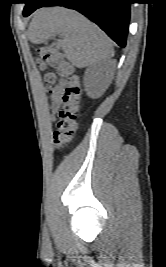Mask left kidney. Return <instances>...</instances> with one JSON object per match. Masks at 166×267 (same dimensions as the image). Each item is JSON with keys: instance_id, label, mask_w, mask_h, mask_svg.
I'll return each instance as SVG.
<instances>
[{"instance_id": "1", "label": "left kidney", "mask_w": 166, "mask_h": 267, "mask_svg": "<svg viewBox=\"0 0 166 267\" xmlns=\"http://www.w3.org/2000/svg\"><path fill=\"white\" fill-rule=\"evenodd\" d=\"M106 86L105 64H96L86 69L84 90L90 98H98L105 91Z\"/></svg>"}]
</instances>
